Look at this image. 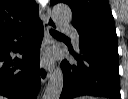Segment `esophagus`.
I'll return each mask as SVG.
<instances>
[{
    "label": "esophagus",
    "mask_w": 128,
    "mask_h": 99,
    "mask_svg": "<svg viewBox=\"0 0 128 99\" xmlns=\"http://www.w3.org/2000/svg\"><path fill=\"white\" fill-rule=\"evenodd\" d=\"M46 12H47V20L44 31V49H46L47 47H49L54 43V40L50 35L49 29H53V30L57 29V24L51 16L50 9L47 8ZM50 72H51V66L50 64L44 61V58L42 56L40 60V78L43 83H45L49 78Z\"/></svg>",
    "instance_id": "1"
}]
</instances>
